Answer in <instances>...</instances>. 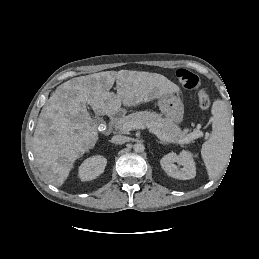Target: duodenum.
<instances>
[{
    "label": "duodenum",
    "mask_w": 259,
    "mask_h": 259,
    "mask_svg": "<svg viewBox=\"0 0 259 259\" xmlns=\"http://www.w3.org/2000/svg\"><path fill=\"white\" fill-rule=\"evenodd\" d=\"M119 117L118 111H112L109 113L108 119H109V127L104 131L105 133H108L110 131L111 125L117 120Z\"/></svg>",
    "instance_id": "1"
}]
</instances>
